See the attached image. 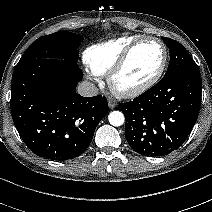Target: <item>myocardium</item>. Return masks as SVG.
<instances>
[{"label":"myocardium","instance_id":"obj_1","mask_svg":"<svg viewBox=\"0 0 212 212\" xmlns=\"http://www.w3.org/2000/svg\"><path fill=\"white\" fill-rule=\"evenodd\" d=\"M146 42H155L161 46L163 50V59H162L160 67L158 68L156 73L145 82L134 87H128V88L121 87L118 83V78L120 74L124 70L125 66L127 65L130 57L132 56L136 48ZM168 57H169L168 49L166 45L164 44V42H162L160 39L155 37L138 38L125 49V51L122 53V55L120 56L116 64L108 73V84L110 89L116 95L123 98H133L143 94L144 92L152 88L160 80V78L162 77L166 69V66L168 63Z\"/></svg>","mask_w":212,"mask_h":212}]
</instances>
